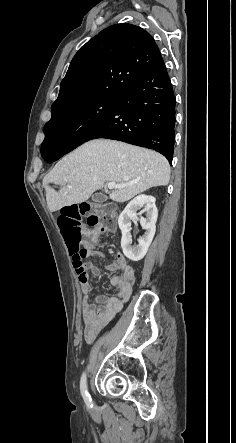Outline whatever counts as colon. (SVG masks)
<instances>
[{"label": "colon", "instance_id": "5ec220e1", "mask_svg": "<svg viewBox=\"0 0 236 443\" xmlns=\"http://www.w3.org/2000/svg\"><path fill=\"white\" fill-rule=\"evenodd\" d=\"M82 218H86L88 226L99 233L111 232L116 226V211L110 205L82 202L60 209L57 223L75 268H82L84 260L91 254L89 247L82 246L90 237L81 227Z\"/></svg>", "mask_w": 236, "mask_h": 443}]
</instances>
